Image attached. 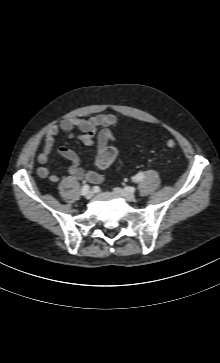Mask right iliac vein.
I'll use <instances>...</instances> for the list:
<instances>
[{
	"label": "right iliac vein",
	"mask_w": 220,
	"mask_h": 363,
	"mask_svg": "<svg viewBox=\"0 0 220 363\" xmlns=\"http://www.w3.org/2000/svg\"><path fill=\"white\" fill-rule=\"evenodd\" d=\"M93 196V193L91 191H89L86 195H85V198L86 199H91Z\"/></svg>",
	"instance_id": "63e3f726"
}]
</instances>
